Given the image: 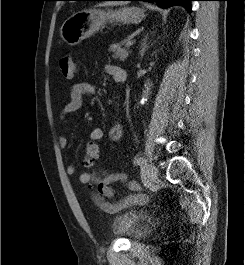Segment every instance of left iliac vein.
Masks as SVG:
<instances>
[{
	"label": "left iliac vein",
	"instance_id": "left-iliac-vein-1",
	"mask_svg": "<svg viewBox=\"0 0 245 265\" xmlns=\"http://www.w3.org/2000/svg\"><path fill=\"white\" fill-rule=\"evenodd\" d=\"M146 174H147L149 182L154 183L158 176V170L154 165L150 164L147 166Z\"/></svg>",
	"mask_w": 245,
	"mask_h": 265
}]
</instances>
